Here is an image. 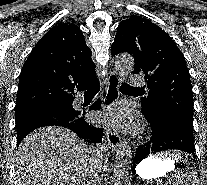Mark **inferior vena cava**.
<instances>
[{
  "mask_svg": "<svg viewBox=\"0 0 207 185\" xmlns=\"http://www.w3.org/2000/svg\"><path fill=\"white\" fill-rule=\"evenodd\" d=\"M93 165H101V161H98V159L94 157Z\"/></svg>",
  "mask_w": 207,
  "mask_h": 185,
  "instance_id": "obj_1",
  "label": "inferior vena cava"
}]
</instances>
